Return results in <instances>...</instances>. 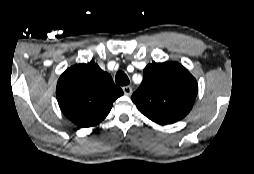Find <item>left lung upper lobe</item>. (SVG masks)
<instances>
[{
	"instance_id": "1",
	"label": "left lung upper lobe",
	"mask_w": 254,
	"mask_h": 174,
	"mask_svg": "<svg viewBox=\"0 0 254 174\" xmlns=\"http://www.w3.org/2000/svg\"><path fill=\"white\" fill-rule=\"evenodd\" d=\"M197 92L195 78L179 63H152L145 67L142 84L131 99L146 117L165 125L190 112Z\"/></svg>"
}]
</instances>
